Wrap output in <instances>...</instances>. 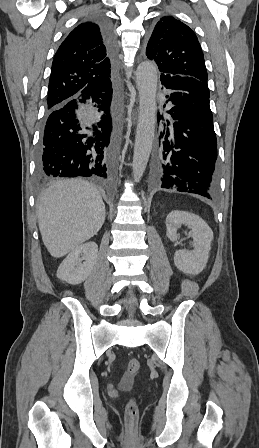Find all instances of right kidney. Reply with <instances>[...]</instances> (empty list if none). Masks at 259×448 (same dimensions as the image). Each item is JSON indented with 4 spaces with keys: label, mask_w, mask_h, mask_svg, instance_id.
<instances>
[{
    "label": "right kidney",
    "mask_w": 259,
    "mask_h": 448,
    "mask_svg": "<svg viewBox=\"0 0 259 448\" xmlns=\"http://www.w3.org/2000/svg\"><path fill=\"white\" fill-rule=\"evenodd\" d=\"M98 246L95 242H87L77 246L63 260L57 270V278L67 284H82L90 276L97 260ZM82 260H85L81 264Z\"/></svg>",
    "instance_id": "ca27d5eb"
}]
</instances>
